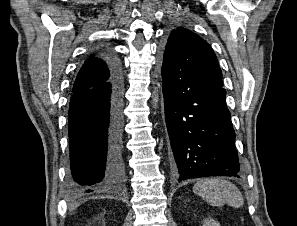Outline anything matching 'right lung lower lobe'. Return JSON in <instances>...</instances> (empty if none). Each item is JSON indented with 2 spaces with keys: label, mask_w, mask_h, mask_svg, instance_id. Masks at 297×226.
<instances>
[{
  "label": "right lung lower lobe",
  "mask_w": 297,
  "mask_h": 226,
  "mask_svg": "<svg viewBox=\"0 0 297 226\" xmlns=\"http://www.w3.org/2000/svg\"><path fill=\"white\" fill-rule=\"evenodd\" d=\"M70 185L75 194L123 181L122 80L110 59V78L100 86L73 92L68 114Z\"/></svg>",
  "instance_id": "right-lung-lower-lobe-1"
}]
</instances>
